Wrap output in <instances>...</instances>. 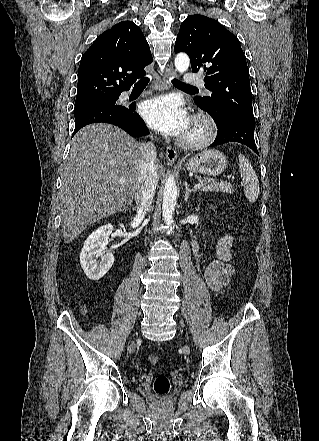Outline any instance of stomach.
<instances>
[{
	"instance_id": "1",
	"label": "stomach",
	"mask_w": 319,
	"mask_h": 441,
	"mask_svg": "<svg viewBox=\"0 0 319 441\" xmlns=\"http://www.w3.org/2000/svg\"><path fill=\"white\" fill-rule=\"evenodd\" d=\"M227 167V159L221 152L209 149L205 150L192 159L184 167V170L206 175H220Z\"/></svg>"
}]
</instances>
